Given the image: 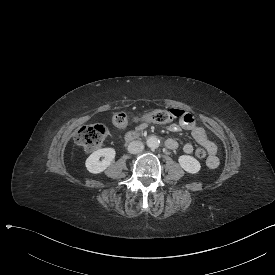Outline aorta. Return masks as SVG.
<instances>
[{
	"instance_id": "1",
	"label": "aorta",
	"mask_w": 275,
	"mask_h": 275,
	"mask_svg": "<svg viewBox=\"0 0 275 275\" xmlns=\"http://www.w3.org/2000/svg\"><path fill=\"white\" fill-rule=\"evenodd\" d=\"M146 144L149 148H157L159 146V140L155 136H149L146 139Z\"/></svg>"
}]
</instances>
